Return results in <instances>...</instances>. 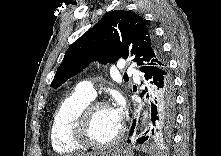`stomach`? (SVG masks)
I'll return each instance as SVG.
<instances>
[{
  "label": "stomach",
  "instance_id": "1",
  "mask_svg": "<svg viewBox=\"0 0 221 156\" xmlns=\"http://www.w3.org/2000/svg\"><path fill=\"white\" fill-rule=\"evenodd\" d=\"M105 156H133L132 153L126 149H112L106 153Z\"/></svg>",
  "mask_w": 221,
  "mask_h": 156
}]
</instances>
